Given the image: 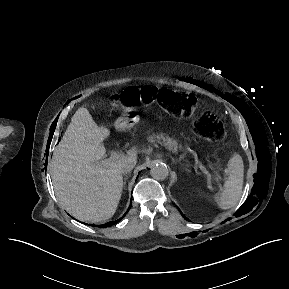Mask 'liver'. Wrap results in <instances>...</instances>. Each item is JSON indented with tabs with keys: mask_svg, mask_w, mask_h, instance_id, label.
<instances>
[{
	"mask_svg": "<svg viewBox=\"0 0 289 289\" xmlns=\"http://www.w3.org/2000/svg\"><path fill=\"white\" fill-rule=\"evenodd\" d=\"M108 135L81 107L53 153L51 177L57 199L83 222L99 223L115 214L123 188L119 165L137 156L136 150H130L119 160L104 163L103 141Z\"/></svg>",
	"mask_w": 289,
	"mask_h": 289,
	"instance_id": "1",
	"label": "liver"
}]
</instances>
